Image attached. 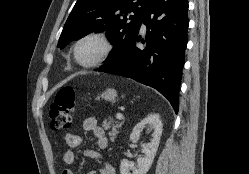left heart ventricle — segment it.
<instances>
[{"mask_svg":"<svg viewBox=\"0 0 249 174\" xmlns=\"http://www.w3.org/2000/svg\"><path fill=\"white\" fill-rule=\"evenodd\" d=\"M102 52V45L96 40H87L83 42L78 49L79 58L84 61H92Z\"/></svg>","mask_w":249,"mask_h":174,"instance_id":"obj_1","label":"left heart ventricle"}]
</instances>
